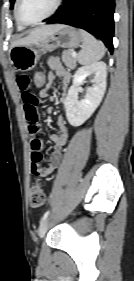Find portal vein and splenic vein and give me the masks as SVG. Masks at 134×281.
Segmentation results:
<instances>
[{
  "label": "portal vein and splenic vein",
  "instance_id": "portal-vein-and-splenic-vein-1",
  "mask_svg": "<svg viewBox=\"0 0 134 281\" xmlns=\"http://www.w3.org/2000/svg\"><path fill=\"white\" fill-rule=\"evenodd\" d=\"M71 55H72V57H76L77 56L76 52H74V51L72 52Z\"/></svg>",
  "mask_w": 134,
  "mask_h": 281
}]
</instances>
